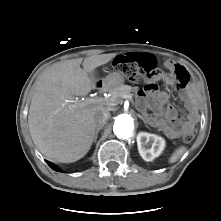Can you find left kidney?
<instances>
[{
	"instance_id": "left-kidney-1",
	"label": "left kidney",
	"mask_w": 221,
	"mask_h": 221,
	"mask_svg": "<svg viewBox=\"0 0 221 221\" xmlns=\"http://www.w3.org/2000/svg\"><path fill=\"white\" fill-rule=\"evenodd\" d=\"M138 151L145 161H152L165 148V140L155 134L140 132L137 136ZM151 145V147H149Z\"/></svg>"
}]
</instances>
